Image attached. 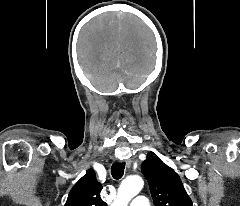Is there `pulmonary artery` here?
Here are the masks:
<instances>
[{
	"label": "pulmonary artery",
	"instance_id": "1",
	"mask_svg": "<svg viewBox=\"0 0 240 206\" xmlns=\"http://www.w3.org/2000/svg\"><path fill=\"white\" fill-rule=\"evenodd\" d=\"M130 206H150L148 199L145 196H137L134 198Z\"/></svg>",
	"mask_w": 240,
	"mask_h": 206
}]
</instances>
